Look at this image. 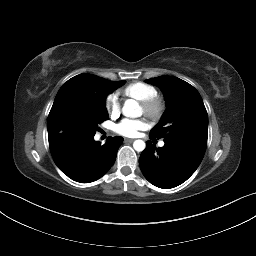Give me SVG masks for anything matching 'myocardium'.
Wrapping results in <instances>:
<instances>
[{
    "label": "myocardium",
    "mask_w": 256,
    "mask_h": 256,
    "mask_svg": "<svg viewBox=\"0 0 256 256\" xmlns=\"http://www.w3.org/2000/svg\"><path fill=\"white\" fill-rule=\"evenodd\" d=\"M143 112L152 120H158L165 111L164 100L158 95L140 102Z\"/></svg>",
    "instance_id": "1"
}]
</instances>
